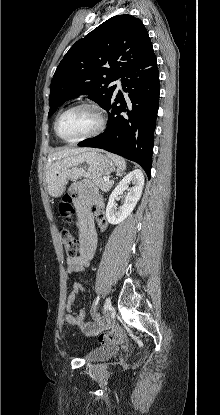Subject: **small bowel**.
<instances>
[{"mask_svg": "<svg viewBox=\"0 0 220 415\" xmlns=\"http://www.w3.org/2000/svg\"><path fill=\"white\" fill-rule=\"evenodd\" d=\"M77 196L73 200L77 213L79 256L74 260H69L68 270L70 272H81L89 267L91 260L95 256L97 247V231H104L107 226L105 215L98 216L97 209H104V198L94 183L90 180H81L74 185ZM83 291L80 283H75L72 291L67 297V314L65 320L67 324L77 327L86 336H98V340L103 345H109L113 339H101V334L110 328L106 320L91 323L86 320L83 308L76 309L75 302L79 294Z\"/></svg>", "mask_w": 220, "mask_h": 415, "instance_id": "c3829d8e", "label": "small bowel"}]
</instances>
